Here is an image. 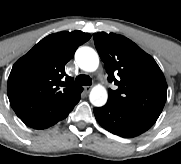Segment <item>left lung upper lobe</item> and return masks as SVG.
Listing matches in <instances>:
<instances>
[{
  "mask_svg": "<svg viewBox=\"0 0 181 164\" xmlns=\"http://www.w3.org/2000/svg\"><path fill=\"white\" fill-rule=\"evenodd\" d=\"M93 37L109 82L118 86L109 89L108 99L158 119L165 105L167 83L155 60L124 36L98 32Z\"/></svg>",
  "mask_w": 181,
  "mask_h": 164,
  "instance_id": "left-lung-upper-lobe-1",
  "label": "left lung upper lobe"
}]
</instances>
